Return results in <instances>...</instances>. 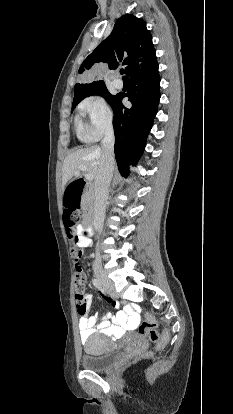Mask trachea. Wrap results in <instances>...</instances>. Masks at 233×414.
<instances>
[{
    "mask_svg": "<svg viewBox=\"0 0 233 414\" xmlns=\"http://www.w3.org/2000/svg\"><path fill=\"white\" fill-rule=\"evenodd\" d=\"M124 73V70L123 69H121L120 70V74H123ZM123 79H126V77L125 76H123Z\"/></svg>",
    "mask_w": 233,
    "mask_h": 414,
    "instance_id": "obj_1",
    "label": "trachea"
}]
</instances>
